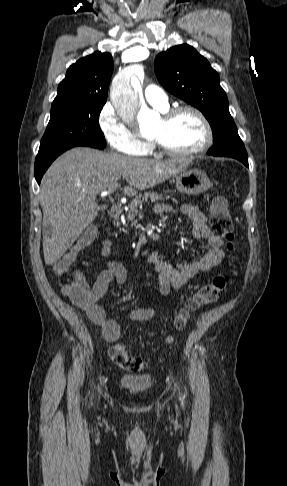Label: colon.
Listing matches in <instances>:
<instances>
[{
    "mask_svg": "<svg viewBox=\"0 0 287 486\" xmlns=\"http://www.w3.org/2000/svg\"><path fill=\"white\" fill-rule=\"evenodd\" d=\"M210 225L213 232L227 242V248L234 255L235 245L233 242L234 232L233 223L228 210L227 201L224 197L216 196L210 206ZM97 235V228H88L79 238L76 245L61 257L54 264V273L57 276L66 274L72 266L76 254L79 250L93 242ZM236 259L233 260L236 263ZM234 270L230 274L218 275L211 282L203 285L192 297H190L184 306L180 308L173 319V331L183 330L190 319L191 315L200 308L214 303L221 294L226 290L231 281ZM63 293L74 304L84 307L89 302V293L81 277L75 279L63 286ZM111 360L120 368L138 372L144 370L147 366L145 360L140 357L131 356L123 343H116L109 349Z\"/></svg>",
    "mask_w": 287,
    "mask_h": 486,
    "instance_id": "obj_1",
    "label": "colon"
}]
</instances>
